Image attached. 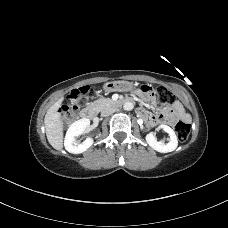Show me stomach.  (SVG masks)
<instances>
[{
    "mask_svg": "<svg viewBox=\"0 0 228 228\" xmlns=\"http://www.w3.org/2000/svg\"><path fill=\"white\" fill-rule=\"evenodd\" d=\"M135 88L133 83L128 81H110L104 84L103 89L106 92L131 91Z\"/></svg>",
    "mask_w": 228,
    "mask_h": 228,
    "instance_id": "0dacf381",
    "label": "stomach"
}]
</instances>
